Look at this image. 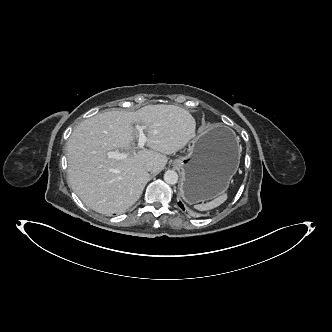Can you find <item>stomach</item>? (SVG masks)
<instances>
[{"label":"stomach","instance_id":"1","mask_svg":"<svg viewBox=\"0 0 332 332\" xmlns=\"http://www.w3.org/2000/svg\"><path fill=\"white\" fill-rule=\"evenodd\" d=\"M241 146L234 131L217 127L197 136L189 153L173 161L182 172L180 194L190 204L223 195L236 173Z\"/></svg>","mask_w":332,"mask_h":332}]
</instances>
